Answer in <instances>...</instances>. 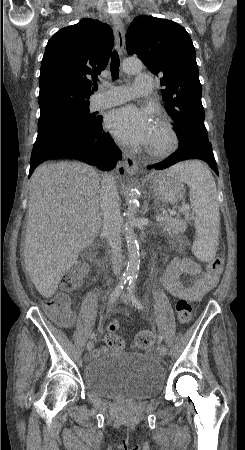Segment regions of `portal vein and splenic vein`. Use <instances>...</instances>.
Here are the masks:
<instances>
[{"mask_svg": "<svg viewBox=\"0 0 245 450\" xmlns=\"http://www.w3.org/2000/svg\"><path fill=\"white\" fill-rule=\"evenodd\" d=\"M189 210H190V207H189L188 204L183 205V211H184V212H187V211H189ZM176 214H177L176 211H171V212H170V215H176ZM166 218H167V215H165V216H162V215L156 216V220H157L158 222H161V221L165 220Z\"/></svg>", "mask_w": 245, "mask_h": 450, "instance_id": "1", "label": "portal vein and splenic vein"}]
</instances>
